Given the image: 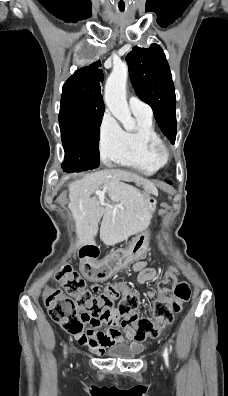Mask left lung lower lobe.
I'll return each mask as SVG.
<instances>
[{
	"instance_id": "1",
	"label": "left lung lower lobe",
	"mask_w": 228,
	"mask_h": 396,
	"mask_svg": "<svg viewBox=\"0 0 228 396\" xmlns=\"http://www.w3.org/2000/svg\"><path fill=\"white\" fill-rule=\"evenodd\" d=\"M166 182H167V183H169V184H171V182H170V181H168V180H166Z\"/></svg>"
}]
</instances>
